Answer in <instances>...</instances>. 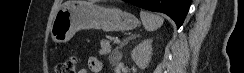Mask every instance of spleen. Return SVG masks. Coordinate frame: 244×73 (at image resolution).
Instances as JSON below:
<instances>
[{"instance_id": "spleen-1", "label": "spleen", "mask_w": 244, "mask_h": 73, "mask_svg": "<svg viewBox=\"0 0 244 73\" xmlns=\"http://www.w3.org/2000/svg\"><path fill=\"white\" fill-rule=\"evenodd\" d=\"M140 18L145 29L150 32L159 29L164 22L161 16L146 11H141Z\"/></svg>"}]
</instances>
